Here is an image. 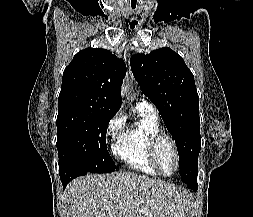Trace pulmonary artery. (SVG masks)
Wrapping results in <instances>:
<instances>
[{
	"label": "pulmonary artery",
	"mask_w": 253,
	"mask_h": 217,
	"mask_svg": "<svg viewBox=\"0 0 253 217\" xmlns=\"http://www.w3.org/2000/svg\"><path fill=\"white\" fill-rule=\"evenodd\" d=\"M136 107L138 108H142L154 115H157L158 112H157V109L156 107L153 105V103L151 101H149L148 99H145L143 97H139L137 99V102H136Z\"/></svg>",
	"instance_id": "1"
}]
</instances>
